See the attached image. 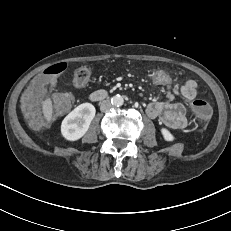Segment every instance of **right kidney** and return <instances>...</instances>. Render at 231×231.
<instances>
[{
    "label": "right kidney",
    "mask_w": 231,
    "mask_h": 231,
    "mask_svg": "<svg viewBox=\"0 0 231 231\" xmlns=\"http://www.w3.org/2000/svg\"><path fill=\"white\" fill-rule=\"evenodd\" d=\"M96 109L91 103H83L72 110L62 121L61 134L68 141L82 138L95 117Z\"/></svg>",
    "instance_id": "right-kidney-1"
}]
</instances>
